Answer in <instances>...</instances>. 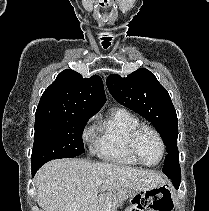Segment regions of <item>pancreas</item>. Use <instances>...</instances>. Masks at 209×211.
<instances>
[{
	"instance_id": "cf45deb5",
	"label": "pancreas",
	"mask_w": 209,
	"mask_h": 211,
	"mask_svg": "<svg viewBox=\"0 0 209 211\" xmlns=\"http://www.w3.org/2000/svg\"><path fill=\"white\" fill-rule=\"evenodd\" d=\"M123 197L121 194L109 191L105 194H102L99 198V204L101 211H105L108 204H111L112 211H117V208L122 206Z\"/></svg>"
}]
</instances>
